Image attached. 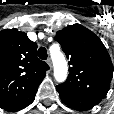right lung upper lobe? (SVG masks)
Here are the masks:
<instances>
[{
    "mask_svg": "<svg viewBox=\"0 0 114 114\" xmlns=\"http://www.w3.org/2000/svg\"><path fill=\"white\" fill-rule=\"evenodd\" d=\"M37 44L17 29L0 31V107L36 94L49 66L36 56Z\"/></svg>",
    "mask_w": 114,
    "mask_h": 114,
    "instance_id": "obj_1",
    "label": "right lung upper lobe"
}]
</instances>
